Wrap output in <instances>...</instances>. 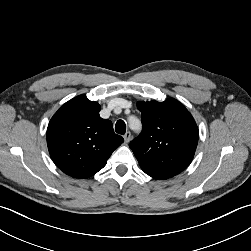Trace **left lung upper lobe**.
Masks as SVG:
<instances>
[{"instance_id":"5c2ea615","label":"left lung upper lobe","mask_w":251,"mask_h":251,"mask_svg":"<svg viewBox=\"0 0 251 251\" xmlns=\"http://www.w3.org/2000/svg\"><path fill=\"white\" fill-rule=\"evenodd\" d=\"M143 130L129 147L149 175L173 177L191 163L199 131L188 110L176 99L138 102Z\"/></svg>"}]
</instances>
